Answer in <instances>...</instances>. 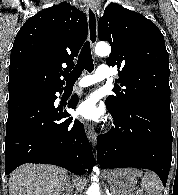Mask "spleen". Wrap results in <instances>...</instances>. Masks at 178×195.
<instances>
[{
    "mask_svg": "<svg viewBox=\"0 0 178 195\" xmlns=\"http://www.w3.org/2000/svg\"><path fill=\"white\" fill-rule=\"evenodd\" d=\"M134 177H142L141 186L147 193V195H162L161 181L159 177L153 172H143L138 169H128Z\"/></svg>",
    "mask_w": 178,
    "mask_h": 195,
    "instance_id": "3e777b00",
    "label": "spleen"
}]
</instances>
